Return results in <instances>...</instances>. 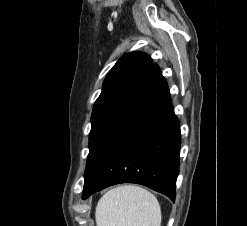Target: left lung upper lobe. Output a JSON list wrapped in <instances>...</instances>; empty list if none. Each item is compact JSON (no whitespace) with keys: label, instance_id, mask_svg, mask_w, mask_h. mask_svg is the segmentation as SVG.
<instances>
[{"label":"left lung upper lobe","instance_id":"obj_1","mask_svg":"<svg viewBox=\"0 0 247 226\" xmlns=\"http://www.w3.org/2000/svg\"><path fill=\"white\" fill-rule=\"evenodd\" d=\"M152 65L150 56L141 52H131L123 55L109 71L104 80L102 92L93 107L89 149Z\"/></svg>","mask_w":247,"mask_h":226}]
</instances>
